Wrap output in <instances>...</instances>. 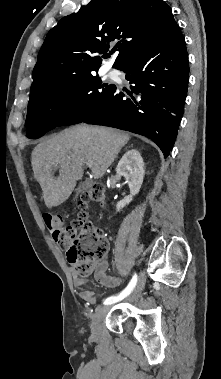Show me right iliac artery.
<instances>
[{
	"instance_id": "1",
	"label": "right iliac artery",
	"mask_w": 221,
	"mask_h": 379,
	"mask_svg": "<svg viewBox=\"0 0 221 379\" xmlns=\"http://www.w3.org/2000/svg\"><path fill=\"white\" fill-rule=\"evenodd\" d=\"M136 283H137V275L135 274L133 278L131 279L130 283L128 284V286L120 294L116 296L108 297L107 299L104 300L103 303L105 305H108V304H112L124 299L126 296H128L131 293Z\"/></svg>"
}]
</instances>
